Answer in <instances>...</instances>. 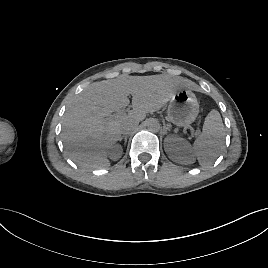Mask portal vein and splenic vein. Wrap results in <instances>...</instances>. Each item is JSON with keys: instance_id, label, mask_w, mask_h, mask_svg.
<instances>
[{"instance_id": "obj_1", "label": "portal vein and splenic vein", "mask_w": 268, "mask_h": 268, "mask_svg": "<svg viewBox=\"0 0 268 268\" xmlns=\"http://www.w3.org/2000/svg\"><path fill=\"white\" fill-rule=\"evenodd\" d=\"M123 115H125V111H124V110H121V111H119L116 115H114L113 117H114V118H118V117H121V116H123Z\"/></svg>"}]
</instances>
